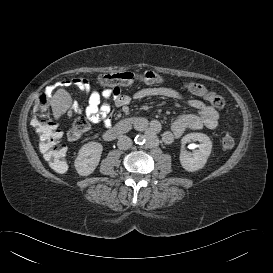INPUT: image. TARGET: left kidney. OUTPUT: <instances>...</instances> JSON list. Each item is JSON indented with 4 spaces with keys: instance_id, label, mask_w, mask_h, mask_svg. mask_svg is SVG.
Here are the masks:
<instances>
[{
    "instance_id": "1",
    "label": "left kidney",
    "mask_w": 273,
    "mask_h": 273,
    "mask_svg": "<svg viewBox=\"0 0 273 273\" xmlns=\"http://www.w3.org/2000/svg\"><path fill=\"white\" fill-rule=\"evenodd\" d=\"M198 141V149L193 153L185 151L183 148L186 143ZM182 151L180 154V163L182 167L189 172H194L202 169L212 150V141L203 133H189L181 139Z\"/></svg>"
}]
</instances>
